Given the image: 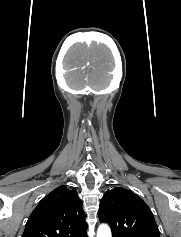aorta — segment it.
<instances>
[{"mask_svg": "<svg viewBox=\"0 0 181 237\" xmlns=\"http://www.w3.org/2000/svg\"><path fill=\"white\" fill-rule=\"evenodd\" d=\"M97 237H112L110 228L105 224L100 225L97 230Z\"/></svg>", "mask_w": 181, "mask_h": 237, "instance_id": "aorta-1", "label": "aorta"}]
</instances>
